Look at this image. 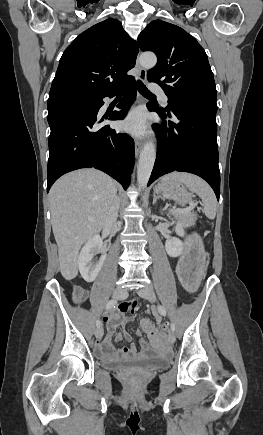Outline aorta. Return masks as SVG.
<instances>
[{"instance_id": "762f6f07", "label": "aorta", "mask_w": 263, "mask_h": 435, "mask_svg": "<svg viewBox=\"0 0 263 435\" xmlns=\"http://www.w3.org/2000/svg\"><path fill=\"white\" fill-rule=\"evenodd\" d=\"M157 58L152 53H145L140 56V63L145 68H152L155 66ZM156 158L155 145L152 142H147L139 157L137 167V181L140 188L144 189L149 181L154 162Z\"/></svg>"}]
</instances>
